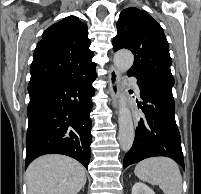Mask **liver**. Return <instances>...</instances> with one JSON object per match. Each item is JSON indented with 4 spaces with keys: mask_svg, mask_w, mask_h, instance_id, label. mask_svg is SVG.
Segmentation results:
<instances>
[{
    "mask_svg": "<svg viewBox=\"0 0 201 194\" xmlns=\"http://www.w3.org/2000/svg\"><path fill=\"white\" fill-rule=\"evenodd\" d=\"M27 194H77L86 183L85 168L63 155H45L26 170Z\"/></svg>",
    "mask_w": 201,
    "mask_h": 194,
    "instance_id": "1",
    "label": "liver"
}]
</instances>
